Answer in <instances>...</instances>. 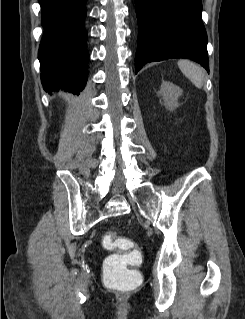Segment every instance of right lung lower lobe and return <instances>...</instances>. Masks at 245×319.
I'll use <instances>...</instances> for the list:
<instances>
[{"label":"right lung lower lobe","instance_id":"98d812e1","mask_svg":"<svg viewBox=\"0 0 245 319\" xmlns=\"http://www.w3.org/2000/svg\"><path fill=\"white\" fill-rule=\"evenodd\" d=\"M44 34L38 58L45 91H81L87 82L86 0H38Z\"/></svg>","mask_w":245,"mask_h":319}]
</instances>
